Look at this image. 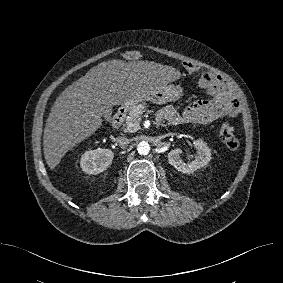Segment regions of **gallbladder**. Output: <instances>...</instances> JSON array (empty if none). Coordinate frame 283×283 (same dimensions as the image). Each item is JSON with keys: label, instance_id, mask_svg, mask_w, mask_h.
I'll return each instance as SVG.
<instances>
[{"label": "gallbladder", "instance_id": "1", "mask_svg": "<svg viewBox=\"0 0 283 283\" xmlns=\"http://www.w3.org/2000/svg\"><path fill=\"white\" fill-rule=\"evenodd\" d=\"M111 112H112V111H111ZM111 112L106 111L105 114H104V116H105L106 118H110V117H111Z\"/></svg>", "mask_w": 283, "mask_h": 283}]
</instances>
